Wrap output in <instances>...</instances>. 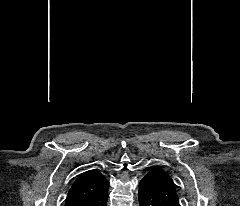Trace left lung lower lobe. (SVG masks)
<instances>
[{
    "mask_svg": "<svg viewBox=\"0 0 240 206\" xmlns=\"http://www.w3.org/2000/svg\"><path fill=\"white\" fill-rule=\"evenodd\" d=\"M140 206H180L176 185L160 166H154L139 184Z\"/></svg>",
    "mask_w": 240,
    "mask_h": 206,
    "instance_id": "0a47b994",
    "label": "left lung lower lobe"
}]
</instances>
